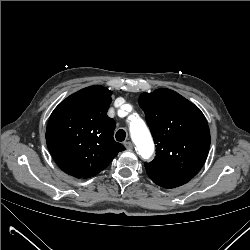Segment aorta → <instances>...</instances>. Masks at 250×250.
<instances>
[{
  "mask_svg": "<svg viewBox=\"0 0 250 250\" xmlns=\"http://www.w3.org/2000/svg\"><path fill=\"white\" fill-rule=\"evenodd\" d=\"M130 133L140 155L145 159L149 158L153 153L154 144L151 134L146 126L133 123L130 126Z\"/></svg>",
  "mask_w": 250,
  "mask_h": 250,
  "instance_id": "1",
  "label": "aorta"
}]
</instances>
